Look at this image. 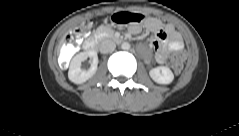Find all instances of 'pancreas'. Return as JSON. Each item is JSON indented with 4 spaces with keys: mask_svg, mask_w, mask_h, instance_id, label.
Segmentation results:
<instances>
[{
    "mask_svg": "<svg viewBox=\"0 0 239 136\" xmlns=\"http://www.w3.org/2000/svg\"><path fill=\"white\" fill-rule=\"evenodd\" d=\"M108 35H111V33H110V32H108Z\"/></svg>",
    "mask_w": 239,
    "mask_h": 136,
    "instance_id": "1",
    "label": "pancreas"
}]
</instances>
